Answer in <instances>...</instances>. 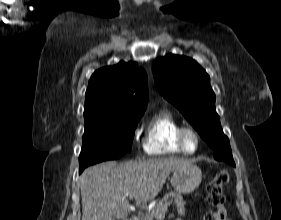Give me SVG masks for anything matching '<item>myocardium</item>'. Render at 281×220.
<instances>
[{
    "mask_svg": "<svg viewBox=\"0 0 281 220\" xmlns=\"http://www.w3.org/2000/svg\"><path fill=\"white\" fill-rule=\"evenodd\" d=\"M189 136H192L195 139V147L192 150L189 149L187 146V138ZM177 140H178L179 146L186 154H194L199 150L200 142H201L200 135L192 127H189V126L181 127L177 134Z\"/></svg>",
    "mask_w": 281,
    "mask_h": 220,
    "instance_id": "obj_1",
    "label": "myocardium"
}]
</instances>
